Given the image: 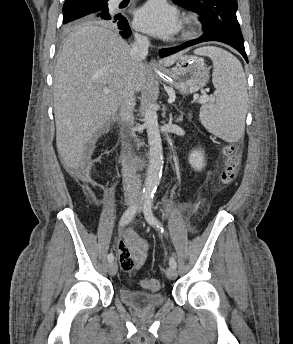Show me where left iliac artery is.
<instances>
[{"instance_id":"left-iliac-artery-1","label":"left iliac artery","mask_w":293,"mask_h":344,"mask_svg":"<svg viewBox=\"0 0 293 344\" xmlns=\"http://www.w3.org/2000/svg\"><path fill=\"white\" fill-rule=\"evenodd\" d=\"M152 205H153V195L147 196L145 198L144 208H143L145 218L149 224H151L152 226H154L155 228H157V229L161 230V232H163V228H162L160 222L158 221V219L153 214ZM169 265H170V267H173V268L177 267L176 260L173 257L170 258Z\"/></svg>"}]
</instances>
